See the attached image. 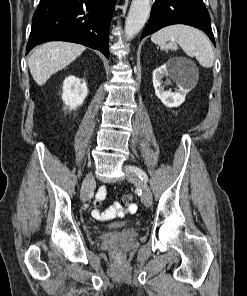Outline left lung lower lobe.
I'll return each instance as SVG.
<instances>
[{"mask_svg": "<svg viewBox=\"0 0 247 296\" xmlns=\"http://www.w3.org/2000/svg\"><path fill=\"white\" fill-rule=\"evenodd\" d=\"M172 24H186L199 28L215 45L210 16L203 0H155L141 39Z\"/></svg>", "mask_w": 247, "mask_h": 296, "instance_id": "0a47b994", "label": "left lung lower lobe"}]
</instances>
